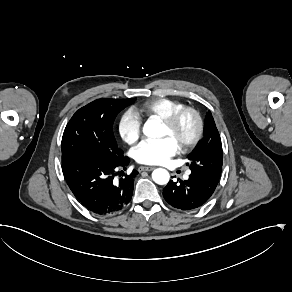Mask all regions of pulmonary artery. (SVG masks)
<instances>
[{
    "label": "pulmonary artery",
    "mask_w": 292,
    "mask_h": 292,
    "mask_svg": "<svg viewBox=\"0 0 292 292\" xmlns=\"http://www.w3.org/2000/svg\"><path fill=\"white\" fill-rule=\"evenodd\" d=\"M190 174V172H188L187 174H186V176H188Z\"/></svg>",
    "instance_id": "1"
}]
</instances>
